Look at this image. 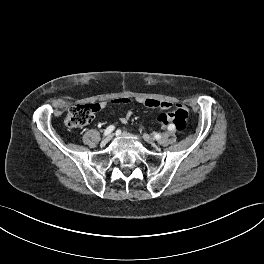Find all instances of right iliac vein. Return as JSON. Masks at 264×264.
Here are the masks:
<instances>
[{"label": "right iliac vein", "instance_id": "right-iliac-vein-1", "mask_svg": "<svg viewBox=\"0 0 264 264\" xmlns=\"http://www.w3.org/2000/svg\"><path fill=\"white\" fill-rule=\"evenodd\" d=\"M113 135L109 134L107 137H105L103 140H106L107 142H109L112 139Z\"/></svg>", "mask_w": 264, "mask_h": 264}]
</instances>
